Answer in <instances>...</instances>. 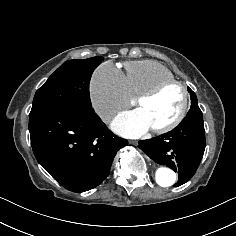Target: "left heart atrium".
Wrapping results in <instances>:
<instances>
[{
  "instance_id": "obj_1",
  "label": "left heart atrium",
  "mask_w": 236,
  "mask_h": 236,
  "mask_svg": "<svg viewBox=\"0 0 236 236\" xmlns=\"http://www.w3.org/2000/svg\"><path fill=\"white\" fill-rule=\"evenodd\" d=\"M111 127L119 135L129 138L140 137L150 129L142 110L139 108L119 114L112 122Z\"/></svg>"
}]
</instances>
